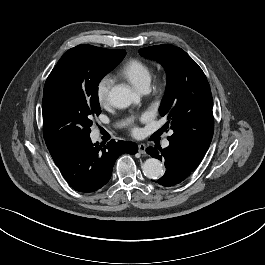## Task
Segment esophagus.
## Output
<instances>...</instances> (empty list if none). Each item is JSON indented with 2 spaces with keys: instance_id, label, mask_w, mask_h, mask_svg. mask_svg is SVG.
<instances>
[{
  "instance_id": "obj_1",
  "label": "esophagus",
  "mask_w": 265,
  "mask_h": 265,
  "mask_svg": "<svg viewBox=\"0 0 265 265\" xmlns=\"http://www.w3.org/2000/svg\"><path fill=\"white\" fill-rule=\"evenodd\" d=\"M146 148H147V146L144 143L138 144V152L139 153L145 154L146 153Z\"/></svg>"
}]
</instances>
